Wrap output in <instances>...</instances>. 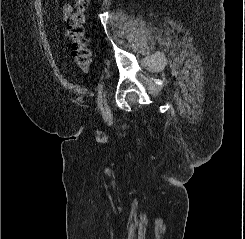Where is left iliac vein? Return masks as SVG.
<instances>
[{
	"mask_svg": "<svg viewBox=\"0 0 245 239\" xmlns=\"http://www.w3.org/2000/svg\"><path fill=\"white\" fill-rule=\"evenodd\" d=\"M103 103H104V110H105V112L106 113H108V111H109V106H108V104H107V100H106V98H105V91L103 92Z\"/></svg>",
	"mask_w": 245,
	"mask_h": 239,
	"instance_id": "1",
	"label": "left iliac vein"
}]
</instances>
